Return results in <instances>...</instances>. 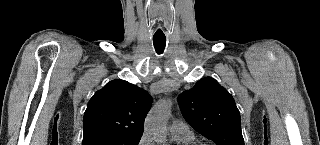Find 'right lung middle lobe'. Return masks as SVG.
Segmentation results:
<instances>
[{"instance_id": "right-lung-middle-lobe-1", "label": "right lung middle lobe", "mask_w": 320, "mask_h": 145, "mask_svg": "<svg viewBox=\"0 0 320 145\" xmlns=\"http://www.w3.org/2000/svg\"><path fill=\"white\" fill-rule=\"evenodd\" d=\"M141 136L135 137H98L83 142V145H138Z\"/></svg>"}]
</instances>
